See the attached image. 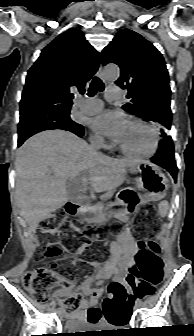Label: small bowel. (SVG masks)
<instances>
[{
    "mask_svg": "<svg viewBox=\"0 0 194 336\" xmlns=\"http://www.w3.org/2000/svg\"><path fill=\"white\" fill-rule=\"evenodd\" d=\"M138 253V246L129 229H125L112 241L110 246V257L104 263H94L93 272L76 288H60L56 291L57 299L81 293L88 297L82 302L81 310L73 317L74 321L85 322L89 325L96 326L103 321L100 309L97 307V294L94 288L102 286L108 279L118 276L121 272H127L134 268L135 259ZM162 269V264H161ZM144 291L150 289L146 284H138ZM129 292L136 296L134 288ZM62 302V301H61Z\"/></svg>",
    "mask_w": 194,
    "mask_h": 336,
    "instance_id": "1",
    "label": "small bowel"
}]
</instances>
